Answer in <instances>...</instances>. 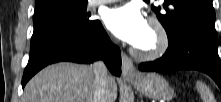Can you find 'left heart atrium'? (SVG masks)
<instances>
[{
	"label": "left heart atrium",
	"instance_id": "left-heart-atrium-1",
	"mask_svg": "<svg viewBox=\"0 0 221 102\" xmlns=\"http://www.w3.org/2000/svg\"><path fill=\"white\" fill-rule=\"evenodd\" d=\"M107 28L118 38L137 46L144 37L148 23L133 5L110 9L104 18Z\"/></svg>",
	"mask_w": 221,
	"mask_h": 102
}]
</instances>
